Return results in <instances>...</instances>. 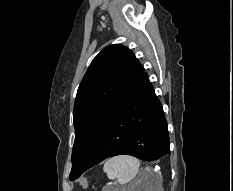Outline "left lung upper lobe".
Here are the masks:
<instances>
[{"instance_id":"left-lung-upper-lobe-1","label":"left lung upper lobe","mask_w":233,"mask_h":191,"mask_svg":"<svg viewBox=\"0 0 233 191\" xmlns=\"http://www.w3.org/2000/svg\"><path fill=\"white\" fill-rule=\"evenodd\" d=\"M144 73L128 48L113 44L92 61L74 104L75 141L70 178L80 174L99 140Z\"/></svg>"}]
</instances>
